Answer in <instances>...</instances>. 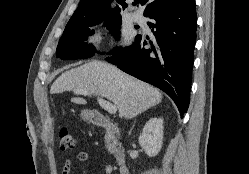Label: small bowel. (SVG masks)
I'll return each instance as SVG.
<instances>
[{"label":"small bowel","mask_w":249,"mask_h":174,"mask_svg":"<svg viewBox=\"0 0 249 174\" xmlns=\"http://www.w3.org/2000/svg\"><path fill=\"white\" fill-rule=\"evenodd\" d=\"M88 159V154L86 152H80L77 155V161L84 162ZM72 171V162L69 159H66L63 164L62 168V174H71ZM112 171V168L110 165H106L105 173L110 174Z\"/></svg>","instance_id":"obj_1"}]
</instances>
